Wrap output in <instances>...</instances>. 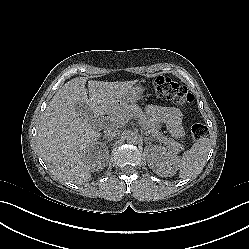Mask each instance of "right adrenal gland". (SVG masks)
Listing matches in <instances>:
<instances>
[{
    "mask_svg": "<svg viewBox=\"0 0 249 249\" xmlns=\"http://www.w3.org/2000/svg\"><path fill=\"white\" fill-rule=\"evenodd\" d=\"M104 138H106L107 141H111V140H112V138H110V137L107 138V137L104 136ZM105 145H106V143H101V146H102V147H104Z\"/></svg>",
    "mask_w": 249,
    "mask_h": 249,
    "instance_id": "obj_1",
    "label": "right adrenal gland"
}]
</instances>
